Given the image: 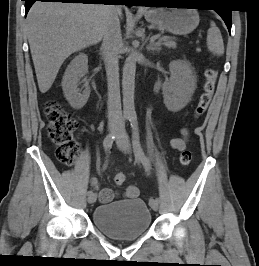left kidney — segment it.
Segmentation results:
<instances>
[{"mask_svg":"<svg viewBox=\"0 0 259 266\" xmlns=\"http://www.w3.org/2000/svg\"><path fill=\"white\" fill-rule=\"evenodd\" d=\"M170 78L162 85L164 104L169 111L178 112L191 100L197 87L189 62L176 60L169 64Z\"/></svg>","mask_w":259,"mask_h":266,"instance_id":"obj_1","label":"left kidney"}]
</instances>
